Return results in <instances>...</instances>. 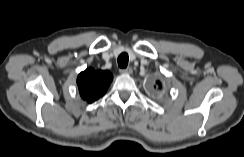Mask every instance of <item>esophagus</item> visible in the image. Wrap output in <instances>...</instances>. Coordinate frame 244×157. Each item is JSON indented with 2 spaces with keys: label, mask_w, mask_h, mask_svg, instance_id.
<instances>
[{
  "label": "esophagus",
  "mask_w": 244,
  "mask_h": 157,
  "mask_svg": "<svg viewBox=\"0 0 244 157\" xmlns=\"http://www.w3.org/2000/svg\"><path fill=\"white\" fill-rule=\"evenodd\" d=\"M133 70L131 67H127L125 69H120V73L122 74H132Z\"/></svg>",
  "instance_id": "obj_1"
}]
</instances>
